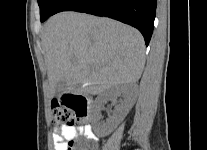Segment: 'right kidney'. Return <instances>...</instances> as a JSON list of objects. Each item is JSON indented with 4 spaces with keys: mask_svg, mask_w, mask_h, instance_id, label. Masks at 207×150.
I'll list each match as a JSON object with an SVG mask.
<instances>
[{
    "mask_svg": "<svg viewBox=\"0 0 207 150\" xmlns=\"http://www.w3.org/2000/svg\"><path fill=\"white\" fill-rule=\"evenodd\" d=\"M123 94L125 97L129 94V89L125 85L114 86L100 94L95 100V113L99 115L103 105L109 100H116L118 96ZM131 109V104L128 100L122 102L119 106L116 107L114 118L111 121V124L108 128V131H113L125 118Z\"/></svg>",
    "mask_w": 207,
    "mask_h": 150,
    "instance_id": "1",
    "label": "right kidney"
}]
</instances>
